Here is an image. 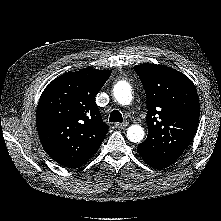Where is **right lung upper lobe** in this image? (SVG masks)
Listing matches in <instances>:
<instances>
[{
    "mask_svg": "<svg viewBox=\"0 0 221 221\" xmlns=\"http://www.w3.org/2000/svg\"><path fill=\"white\" fill-rule=\"evenodd\" d=\"M110 70L85 68L54 79L43 91L36 112L38 135L47 154L61 165L78 167L99 149L109 126L95 96Z\"/></svg>",
    "mask_w": 221,
    "mask_h": 221,
    "instance_id": "obj_1",
    "label": "right lung upper lobe"
}]
</instances>
